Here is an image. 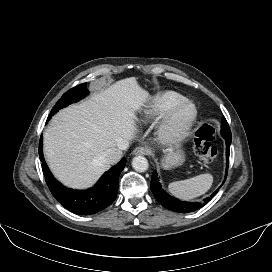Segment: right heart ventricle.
Masks as SVG:
<instances>
[{
    "mask_svg": "<svg viewBox=\"0 0 272 272\" xmlns=\"http://www.w3.org/2000/svg\"><path fill=\"white\" fill-rule=\"evenodd\" d=\"M185 97L175 91H165L152 97L143 109V117L147 120L161 118L174 104L184 100Z\"/></svg>",
    "mask_w": 272,
    "mask_h": 272,
    "instance_id": "1",
    "label": "right heart ventricle"
}]
</instances>
